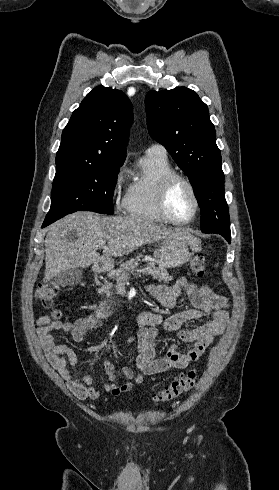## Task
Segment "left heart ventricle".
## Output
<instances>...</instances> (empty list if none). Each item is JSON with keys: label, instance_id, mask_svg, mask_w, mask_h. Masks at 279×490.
Returning a JSON list of instances; mask_svg holds the SVG:
<instances>
[{"label": "left heart ventricle", "instance_id": "1", "mask_svg": "<svg viewBox=\"0 0 279 490\" xmlns=\"http://www.w3.org/2000/svg\"><path fill=\"white\" fill-rule=\"evenodd\" d=\"M170 207L172 214L178 220H187L193 213L194 201L189 187L180 182L174 189L171 200Z\"/></svg>", "mask_w": 279, "mask_h": 490}]
</instances>
